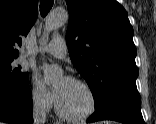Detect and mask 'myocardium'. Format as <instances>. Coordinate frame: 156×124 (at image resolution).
<instances>
[{"label":"myocardium","instance_id":"f54148a6","mask_svg":"<svg viewBox=\"0 0 156 124\" xmlns=\"http://www.w3.org/2000/svg\"><path fill=\"white\" fill-rule=\"evenodd\" d=\"M66 79L73 81L81 86H83L86 91L88 92L89 96H90V106L89 108L82 114H78V115H71L68 113H65L58 105L56 99H55V111L57 113V115L67 121H73V122H78V121H84L89 119L91 116H93L98 109V97L97 94L95 92V90L93 89V87L91 86L90 83H88L86 80L76 77V76H68Z\"/></svg>","mask_w":156,"mask_h":124}]
</instances>
